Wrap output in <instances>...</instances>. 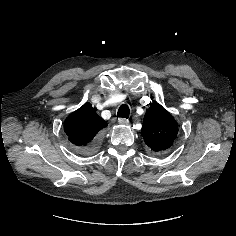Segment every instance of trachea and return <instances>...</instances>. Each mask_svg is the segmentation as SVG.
Returning a JSON list of instances; mask_svg holds the SVG:
<instances>
[{
	"mask_svg": "<svg viewBox=\"0 0 236 236\" xmlns=\"http://www.w3.org/2000/svg\"><path fill=\"white\" fill-rule=\"evenodd\" d=\"M130 114V109L126 104H122L117 112V117L128 118Z\"/></svg>",
	"mask_w": 236,
	"mask_h": 236,
	"instance_id": "1",
	"label": "trachea"
}]
</instances>
